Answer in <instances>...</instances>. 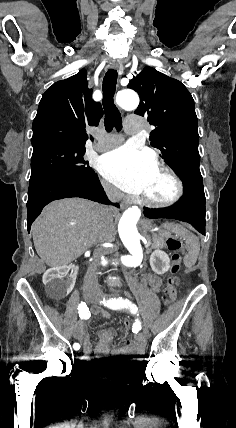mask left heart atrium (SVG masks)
<instances>
[{
	"mask_svg": "<svg viewBox=\"0 0 236 428\" xmlns=\"http://www.w3.org/2000/svg\"><path fill=\"white\" fill-rule=\"evenodd\" d=\"M156 164V160L145 151L122 146L103 157L100 172L120 189L142 194Z\"/></svg>",
	"mask_w": 236,
	"mask_h": 428,
	"instance_id": "39dd6f15",
	"label": "left heart atrium"
}]
</instances>
